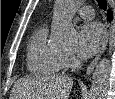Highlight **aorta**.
<instances>
[{
    "mask_svg": "<svg viewBox=\"0 0 115 99\" xmlns=\"http://www.w3.org/2000/svg\"><path fill=\"white\" fill-rule=\"evenodd\" d=\"M81 0H56V12L51 28L52 40L61 47L72 46L77 41V32L71 23L73 11ZM110 61L102 59L92 76L89 99H104L108 88Z\"/></svg>",
    "mask_w": 115,
    "mask_h": 99,
    "instance_id": "aorta-1",
    "label": "aorta"
}]
</instances>
